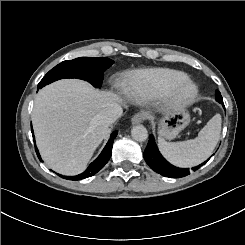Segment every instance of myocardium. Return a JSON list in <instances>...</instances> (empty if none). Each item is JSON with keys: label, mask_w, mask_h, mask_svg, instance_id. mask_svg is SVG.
<instances>
[{"label": "myocardium", "mask_w": 245, "mask_h": 245, "mask_svg": "<svg viewBox=\"0 0 245 245\" xmlns=\"http://www.w3.org/2000/svg\"><path fill=\"white\" fill-rule=\"evenodd\" d=\"M189 87L190 94L183 95L181 91ZM198 94V88L194 82L189 79L174 83L160 92V97L167 102L171 107H185L192 103Z\"/></svg>", "instance_id": "obj_1"}]
</instances>
